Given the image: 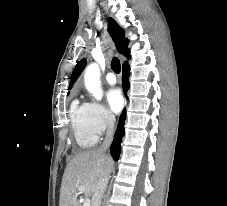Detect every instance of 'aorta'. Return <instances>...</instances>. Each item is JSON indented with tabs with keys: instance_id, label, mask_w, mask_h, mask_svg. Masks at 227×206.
I'll list each match as a JSON object with an SVG mask.
<instances>
[{
	"instance_id": "1",
	"label": "aorta",
	"mask_w": 227,
	"mask_h": 206,
	"mask_svg": "<svg viewBox=\"0 0 227 206\" xmlns=\"http://www.w3.org/2000/svg\"><path fill=\"white\" fill-rule=\"evenodd\" d=\"M84 83L88 92L100 101L103 97V90L101 88L100 69L96 63H92L86 68Z\"/></svg>"
}]
</instances>
